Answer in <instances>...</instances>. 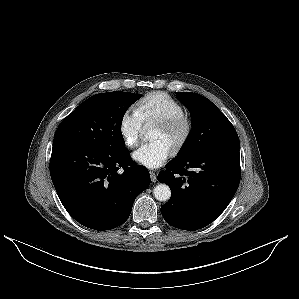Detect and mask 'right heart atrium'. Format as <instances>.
<instances>
[{"label":"right heart atrium","instance_id":"1","mask_svg":"<svg viewBox=\"0 0 299 299\" xmlns=\"http://www.w3.org/2000/svg\"><path fill=\"white\" fill-rule=\"evenodd\" d=\"M144 122L137 110L127 109L121 116L119 123L120 135L129 148H134L140 141Z\"/></svg>","mask_w":299,"mask_h":299}]
</instances>
